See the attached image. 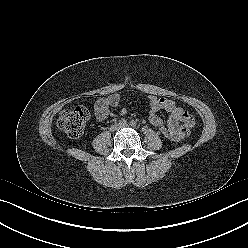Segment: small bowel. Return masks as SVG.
<instances>
[{
	"label": "small bowel",
	"instance_id": "c3829d8e",
	"mask_svg": "<svg viewBox=\"0 0 248 248\" xmlns=\"http://www.w3.org/2000/svg\"><path fill=\"white\" fill-rule=\"evenodd\" d=\"M121 101L119 93H112L108 96L97 100L94 106L95 117L98 121H105L109 114L110 108L117 106ZM150 104L149 122L155 127L163 126V119L158 115L160 110L169 113L167 127L175 135L176 141L183 140L189 136L191 128L195 125L193 116L185 109L179 107L173 100L148 96Z\"/></svg>",
	"mask_w": 248,
	"mask_h": 248
}]
</instances>
